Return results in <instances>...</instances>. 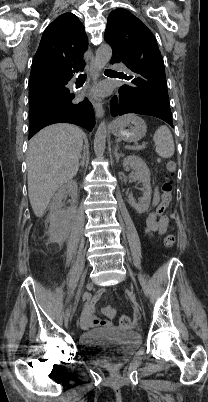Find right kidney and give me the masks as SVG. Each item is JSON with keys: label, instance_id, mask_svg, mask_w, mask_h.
<instances>
[{"label": "right kidney", "instance_id": "ca27d5eb", "mask_svg": "<svg viewBox=\"0 0 208 402\" xmlns=\"http://www.w3.org/2000/svg\"><path fill=\"white\" fill-rule=\"evenodd\" d=\"M77 192L78 186L75 180H69V182L61 186L57 194H55L51 202L50 216L48 218V236L51 242L63 244V242L67 240L70 234L69 218H73L76 214ZM68 194L72 198L71 206L67 208V210H64V208H62V200H64Z\"/></svg>", "mask_w": 208, "mask_h": 402}]
</instances>
